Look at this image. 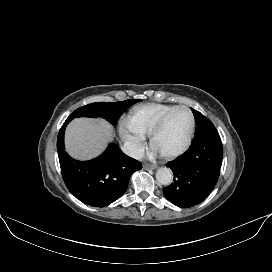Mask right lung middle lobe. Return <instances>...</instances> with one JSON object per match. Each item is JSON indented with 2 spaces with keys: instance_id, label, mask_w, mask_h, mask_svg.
Listing matches in <instances>:
<instances>
[{
  "instance_id": "1",
  "label": "right lung middle lobe",
  "mask_w": 272,
  "mask_h": 272,
  "mask_svg": "<svg viewBox=\"0 0 272 272\" xmlns=\"http://www.w3.org/2000/svg\"><path fill=\"white\" fill-rule=\"evenodd\" d=\"M140 101V99H129L113 103H92L76 109L68 119L72 120L75 117H102L115 125L127 108Z\"/></svg>"
}]
</instances>
